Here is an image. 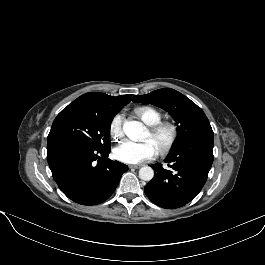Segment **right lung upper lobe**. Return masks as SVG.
<instances>
[{
  "instance_id": "right-lung-upper-lobe-1",
  "label": "right lung upper lobe",
  "mask_w": 265,
  "mask_h": 265,
  "mask_svg": "<svg viewBox=\"0 0 265 265\" xmlns=\"http://www.w3.org/2000/svg\"><path fill=\"white\" fill-rule=\"evenodd\" d=\"M134 96L135 95H120L114 97L104 93L92 92L83 94L67 107L85 108L101 115L114 117Z\"/></svg>"
}]
</instances>
